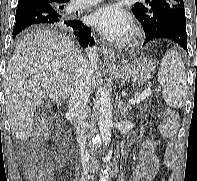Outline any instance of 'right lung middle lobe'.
<instances>
[{
	"label": "right lung middle lobe",
	"instance_id": "obj_1",
	"mask_svg": "<svg viewBox=\"0 0 197 181\" xmlns=\"http://www.w3.org/2000/svg\"><path fill=\"white\" fill-rule=\"evenodd\" d=\"M59 12H62L63 7L57 8Z\"/></svg>",
	"mask_w": 197,
	"mask_h": 181
}]
</instances>
